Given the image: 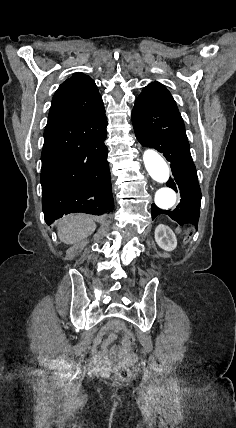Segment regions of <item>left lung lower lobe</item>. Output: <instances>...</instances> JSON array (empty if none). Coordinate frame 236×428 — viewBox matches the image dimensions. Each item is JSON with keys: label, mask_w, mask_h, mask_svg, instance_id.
Instances as JSON below:
<instances>
[{"label": "left lung lower lobe", "mask_w": 236, "mask_h": 428, "mask_svg": "<svg viewBox=\"0 0 236 428\" xmlns=\"http://www.w3.org/2000/svg\"><path fill=\"white\" fill-rule=\"evenodd\" d=\"M132 123L138 141L143 146L163 153L170 161L173 178L169 179L166 186L179 191L181 195L180 203L172 211L162 210L152 204V220L157 215L166 214L180 225L192 224L197 230L202 195L179 111L135 105Z\"/></svg>", "instance_id": "1"}]
</instances>
